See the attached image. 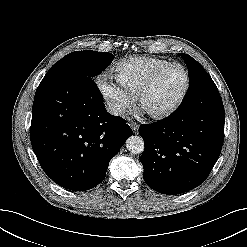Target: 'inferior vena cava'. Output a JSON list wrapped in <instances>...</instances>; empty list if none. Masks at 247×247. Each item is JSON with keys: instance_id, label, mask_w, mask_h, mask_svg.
I'll list each match as a JSON object with an SVG mask.
<instances>
[{"instance_id": "obj_1", "label": "inferior vena cava", "mask_w": 247, "mask_h": 247, "mask_svg": "<svg viewBox=\"0 0 247 247\" xmlns=\"http://www.w3.org/2000/svg\"><path fill=\"white\" fill-rule=\"evenodd\" d=\"M106 109L110 114L115 115V116H120L123 112L121 106L118 105L117 103L108 102L106 104Z\"/></svg>"}]
</instances>
